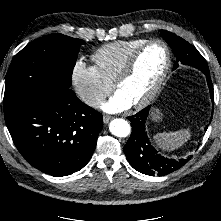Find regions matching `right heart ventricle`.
I'll return each instance as SVG.
<instances>
[{
	"label": "right heart ventricle",
	"instance_id": "1",
	"mask_svg": "<svg viewBox=\"0 0 221 221\" xmlns=\"http://www.w3.org/2000/svg\"><path fill=\"white\" fill-rule=\"evenodd\" d=\"M146 39L119 40L99 47L92 55L100 74L113 83L131 53Z\"/></svg>",
	"mask_w": 221,
	"mask_h": 221
}]
</instances>
